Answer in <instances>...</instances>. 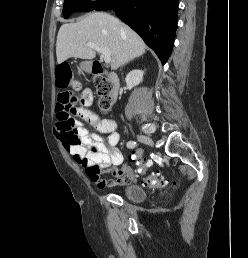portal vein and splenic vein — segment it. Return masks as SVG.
I'll list each match as a JSON object with an SVG mask.
<instances>
[{
    "label": "portal vein and splenic vein",
    "mask_w": 248,
    "mask_h": 258,
    "mask_svg": "<svg viewBox=\"0 0 248 258\" xmlns=\"http://www.w3.org/2000/svg\"><path fill=\"white\" fill-rule=\"evenodd\" d=\"M86 46L91 48V49H94L95 51L100 53L104 57V61L106 63H110L111 62V54H110V52L106 48L99 47L98 45H96L94 43H87Z\"/></svg>",
    "instance_id": "obj_1"
}]
</instances>
